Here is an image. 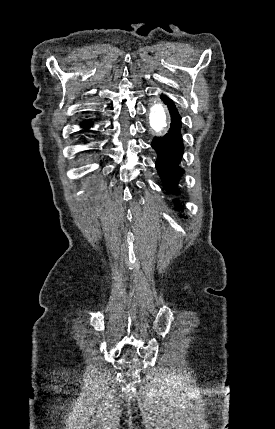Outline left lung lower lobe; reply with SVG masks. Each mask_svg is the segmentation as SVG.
<instances>
[{
    "mask_svg": "<svg viewBox=\"0 0 275 429\" xmlns=\"http://www.w3.org/2000/svg\"><path fill=\"white\" fill-rule=\"evenodd\" d=\"M162 99L168 105L171 114V128L164 137L154 138L151 146L158 153L156 168L164 181V189L172 194H179L176 185L184 173L178 166L184 149L180 133L181 117L169 98L162 97ZM174 202L178 204L176 200ZM179 208L183 209L182 206Z\"/></svg>",
    "mask_w": 275,
    "mask_h": 429,
    "instance_id": "0a47b994",
    "label": "left lung lower lobe"
}]
</instances>
